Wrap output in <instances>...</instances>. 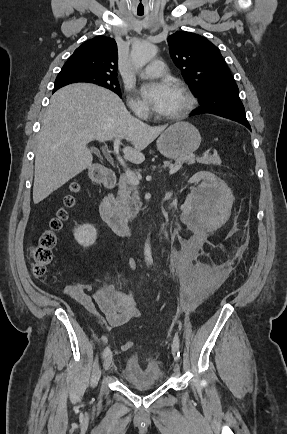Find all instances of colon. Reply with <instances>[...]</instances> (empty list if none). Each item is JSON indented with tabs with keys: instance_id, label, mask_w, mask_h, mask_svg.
Segmentation results:
<instances>
[{
	"instance_id": "1",
	"label": "colon",
	"mask_w": 287,
	"mask_h": 434,
	"mask_svg": "<svg viewBox=\"0 0 287 434\" xmlns=\"http://www.w3.org/2000/svg\"><path fill=\"white\" fill-rule=\"evenodd\" d=\"M79 184L74 182L70 185L72 193L79 191ZM64 206L58 209L55 215L49 220L48 229L42 231L31 247L32 270L35 276L43 277L46 274L47 265L52 259V248L56 243V232L61 229L63 222L68 218V209L75 205L72 194L67 195L63 201ZM132 342H125L122 350H130Z\"/></svg>"
}]
</instances>
